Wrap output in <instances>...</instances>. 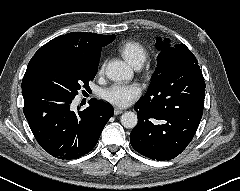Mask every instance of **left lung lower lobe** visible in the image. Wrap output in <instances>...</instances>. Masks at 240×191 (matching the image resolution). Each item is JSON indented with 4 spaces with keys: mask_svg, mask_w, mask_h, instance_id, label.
Masks as SVG:
<instances>
[{
    "mask_svg": "<svg viewBox=\"0 0 240 191\" xmlns=\"http://www.w3.org/2000/svg\"><path fill=\"white\" fill-rule=\"evenodd\" d=\"M203 75L185 80L181 92H164L151 101L140 99L138 124L130 134L132 147L157 161L178 156L194 137L203 114Z\"/></svg>",
    "mask_w": 240,
    "mask_h": 191,
    "instance_id": "left-lung-lower-lobe-1",
    "label": "left lung lower lobe"
}]
</instances>
